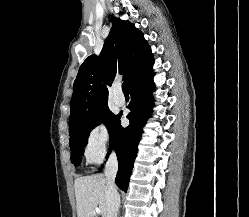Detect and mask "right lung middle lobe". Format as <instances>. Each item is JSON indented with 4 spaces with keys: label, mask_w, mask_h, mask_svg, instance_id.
<instances>
[{
    "label": "right lung middle lobe",
    "mask_w": 249,
    "mask_h": 217,
    "mask_svg": "<svg viewBox=\"0 0 249 217\" xmlns=\"http://www.w3.org/2000/svg\"><path fill=\"white\" fill-rule=\"evenodd\" d=\"M116 119L117 116L109 110L107 103H105L69 121L71 161L73 164L79 165L81 163L84 147L87 145L91 130L104 123L110 131Z\"/></svg>",
    "instance_id": "obj_1"
}]
</instances>
